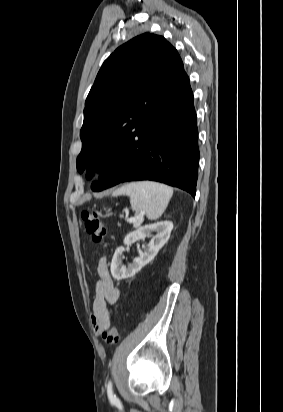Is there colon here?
Returning a JSON list of instances; mask_svg holds the SVG:
<instances>
[{
  "mask_svg": "<svg viewBox=\"0 0 283 412\" xmlns=\"http://www.w3.org/2000/svg\"><path fill=\"white\" fill-rule=\"evenodd\" d=\"M81 220L84 224L85 232L92 240L102 244L106 237V229L102 226L99 212L93 208L81 212ZM102 338L107 344H115L119 340V333L115 326H107L102 330Z\"/></svg>",
  "mask_w": 283,
  "mask_h": 412,
  "instance_id": "1",
  "label": "colon"
}]
</instances>
